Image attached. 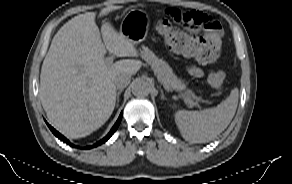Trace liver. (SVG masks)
<instances>
[{"instance_id":"obj_1","label":"liver","mask_w":292,"mask_h":184,"mask_svg":"<svg viewBox=\"0 0 292 184\" xmlns=\"http://www.w3.org/2000/svg\"><path fill=\"white\" fill-rule=\"evenodd\" d=\"M118 9L110 6L99 16ZM95 12L69 20L52 39L40 74L39 96L50 123L70 138L90 135L111 116L116 103L115 79L134 75L139 60L125 59L107 64L106 49L118 57H137L134 44L110 23L101 28Z\"/></svg>"}]
</instances>
